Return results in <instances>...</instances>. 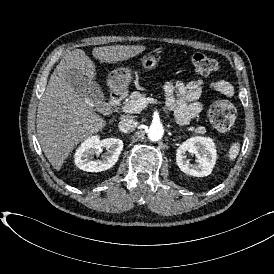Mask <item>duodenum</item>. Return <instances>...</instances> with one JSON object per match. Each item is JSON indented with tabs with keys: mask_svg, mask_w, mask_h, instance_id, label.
Returning <instances> with one entry per match:
<instances>
[{
	"mask_svg": "<svg viewBox=\"0 0 274 274\" xmlns=\"http://www.w3.org/2000/svg\"><path fill=\"white\" fill-rule=\"evenodd\" d=\"M123 101V95L118 92H114L111 94L109 103L112 108H118Z\"/></svg>",
	"mask_w": 274,
	"mask_h": 274,
	"instance_id": "obj_1",
	"label": "duodenum"
}]
</instances>
